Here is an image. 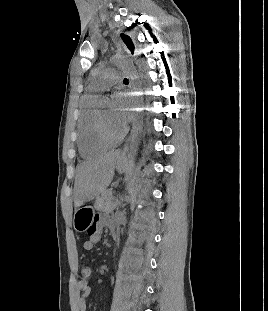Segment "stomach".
Masks as SVG:
<instances>
[{
  "instance_id": "stomach-1",
  "label": "stomach",
  "mask_w": 268,
  "mask_h": 311,
  "mask_svg": "<svg viewBox=\"0 0 268 311\" xmlns=\"http://www.w3.org/2000/svg\"><path fill=\"white\" fill-rule=\"evenodd\" d=\"M129 165V159L127 156H121L116 162V169L119 172H123ZM92 209L90 207L84 206L79 207L74 212L73 217V227L77 232L87 231L92 224Z\"/></svg>"
}]
</instances>
